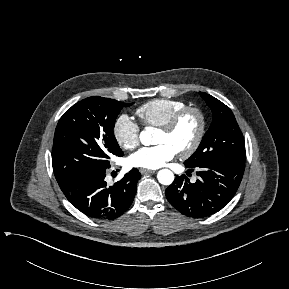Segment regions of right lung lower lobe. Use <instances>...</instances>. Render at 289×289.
Wrapping results in <instances>:
<instances>
[{
	"label": "right lung lower lobe",
	"mask_w": 289,
	"mask_h": 289,
	"mask_svg": "<svg viewBox=\"0 0 289 289\" xmlns=\"http://www.w3.org/2000/svg\"><path fill=\"white\" fill-rule=\"evenodd\" d=\"M106 169L82 174L60 187L69 202L88 217L112 220L132 204L141 174L135 168L107 186Z\"/></svg>",
	"instance_id": "1"
}]
</instances>
